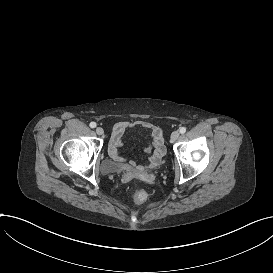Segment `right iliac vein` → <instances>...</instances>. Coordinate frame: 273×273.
Returning a JSON list of instances; mask_svg holds the SVG:
<instances>
[{
	"instance_id": "right-iliac-vein-1",
	"label": "right iliac vein",
	"mask_w": 273,
	"mask_h": 273,
	"mask_svg": "<svg viewBox=\"0 0 273 273\" xmlns=\"http://www.w3.org/2000/svg\"><path fill=\"white\" fill-rule=\"evenodd\" d=\"M96 133H97L98 135H103V134H104V129H103L102 127H97V128H96Z\"/></svg>"
}]
</instances>
